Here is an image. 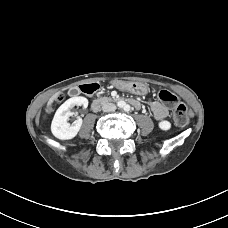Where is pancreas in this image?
Returning a JSON list of instances; mask_svg holds the SVG:
<instances>
[{"label":"pancreas","mask_w":228,"mask_h":228,"mask_svg":"<svg viewBox=\"0 0 228 228\" xmlns=\"http://www.w3.org/2000/svg\"><path fill=\"white\" fill-rule=\"evenodd\" d=\"M99 100L105 103V102L111 101L112 99L109 97H101Z\"/></svg>","instance_id":"1"}]
</instances>
